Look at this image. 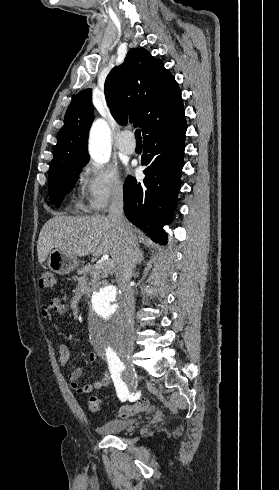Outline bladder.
<instances>
[{
    "mask_svg": "<svg viewBox=\"0 0 279 490\" xmlns=\"http://www.w3.org/2000/svg\"><path fill=\"white\" fill-rule=\"evenodd\" d=\"M136 423V418H116L102 422L97 430L104 436L121 435L131 430Z\"/></svg>",
    "mask_w": 279,
    "mask_h": 490,
    "instance_id": "obj_1",
    "label": "bladder"
}]
</instances>
